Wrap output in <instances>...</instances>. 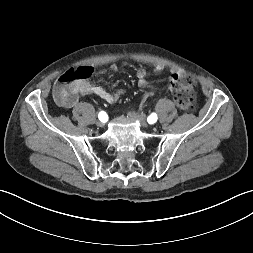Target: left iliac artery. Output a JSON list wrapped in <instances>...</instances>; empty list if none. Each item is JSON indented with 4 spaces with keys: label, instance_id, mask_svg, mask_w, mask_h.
<instances>
[{
    "label": "left iliac artery",
    "instance_id": "1",
    "mask_svg": "<svg viewBox=\"0 0 253 253\" xmlns=\"http://www.w3.org/2000/svg\"><path fill=\"white\" fill-rule=\"evenodd\" d=\"M148 123L153 124L157 121V114L156 113H152L148 119H147Z\"/></svg>",
    "mask_w": 253,
    "mask_h": 253
}]
</instances>
